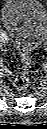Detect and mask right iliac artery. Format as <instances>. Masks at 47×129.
Listing matches in <instances>:
<instances>
[{"label":"right iliac artery","instance_id":"82829eb1","mask_svg":"<svg viewBox=\"0 0 47 129\" xmlns=\"http://www.w3.org/2000/svg\"><path fill=\"white\" fill-rule=\"evenodd\" d=\"M1 36H2V39L5 37V35H4V34H1Z\"/></svg>","mask_w":47,"mask_h":129}]
</instances>
